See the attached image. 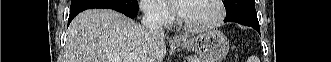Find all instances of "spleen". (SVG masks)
Listing matches in <instances>:
<instances>
[{
  "instance_id": "spleen-1",
  "label": "spleen",
  "mask_w": 331,
  "mask_h": 62,
  "mask_svg": "<svg viewBox=\"0 0 331 62\" xmlns=\"http://www.w3.org/2000/svg\"><path fill=\"white\" fill-rule=\"evenodd\" d=\"M253 60H256V59L250 58L249 59V62H254Z\"/></svg>"
}]
</instances>
